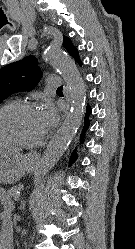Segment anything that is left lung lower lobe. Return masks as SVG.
Instances as JSON below:
<instances>
[{
    "mask_svg": "<svg viewBox=\"0 0 135 249\" xmlns=\"http://www.w3.org/2000/svg\"><path fill=\"white\" fill-rule=\"evenodd\" d=\"M90 113H91V108H90V106L88 105V106H87L86 116H85V122H84L83 133H84V132L88 129V127H89L88 116L90 115ZM83 133H82V136H81V142H83ZM76 159H77V154H76L75 151H73L72 154H71L70 163L74 162Z\"/></svg>",
    "mask_w": 135,
    "mask_h": 249,
    "instance_id": "obj_1",
    "label": "left lung lower lobe"
}]
</instances>
